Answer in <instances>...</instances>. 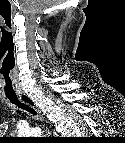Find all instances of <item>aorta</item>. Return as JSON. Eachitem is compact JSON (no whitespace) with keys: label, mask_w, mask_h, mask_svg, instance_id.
Segmentation results:
<instances>
[{"label":"aorta","mask_w":125,"mask_h":143,"mask_svg":"<svg viewBox=\"0 0 125 143\" xmlns=\"http://www.w3.org/2000/svg\"><path fill=\"white\" fill-rule=\"evenodd\" d=\"M40 133H41L40 129H38V128H35L31 131V134H35V135L40 134Z\"/></svg>","instance_id":"762f6f07"}]
</instances>
